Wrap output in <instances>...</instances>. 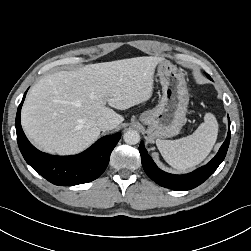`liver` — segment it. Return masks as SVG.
Returning a JSON list of instances; mask_svg holds the SVG:
<instances>
[{"instance_id": "liver-1", "label": "liver", "mask_w": 251, "mask_h": 251, "mask_svg": "<svg viewBox=\"0 0 251 251\" xmlns=\"http://www.w3.org/2000/svg\"><path fill=\"white\" fill-rule=\"evenodd\" d=\"M163 59L145 56L89 64L41 78L30 89L21 112L28 138L41 150L75 154L100 135L99 118L115 127L125 110L147 101L153 91L156 66Z\"/></svg>"}]
</instances>
